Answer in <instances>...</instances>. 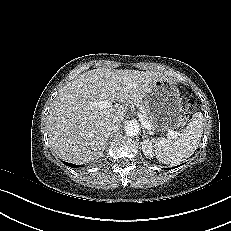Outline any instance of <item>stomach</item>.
<instances>
[{
    "mask_svg": "<svg viewBox=\"0 0 231 231\" xmlns=\"http://www.w3.org/2000/svg\"><path fill=\"white\" fill-rule=\"evenodd\" d=\"M143 106L157 132L174 130L185 123L186 111L179 90L167 79L157 80L152 85Z\"/></svg>",
    "mask_w": 231,
    "mask_h": 231,
    "instance_id": "stomach-1",
    "label": "stomach"
}]
</instances>
